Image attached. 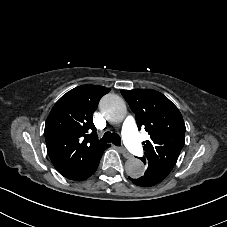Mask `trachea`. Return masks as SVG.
I'll return each instance as SVG.
<instances>
[{
  "mask_svg": "<svg viewBox=\"0 0 227 227\" xmlns=\"http://www.w3.org/2000/svg\"><path fill=\"white\" fill-rule=\"evenodd\" d=\"M103 142H107V143H110L112 142L114 145L116 146H120L121 144V138L120 136L117 134V133H111L109 131H107L103 138L101 139Z\"/></svg>",
  "mask_w": 227,
  "mask_h": 227,
  "instance_id": "trachea-1",
  "label": "trachea"
}]
</instances>
